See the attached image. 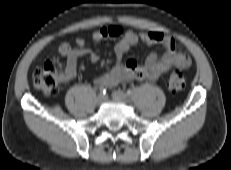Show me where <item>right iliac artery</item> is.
<instances>
[{"label":"right iliac artery","instance_id":"obj_1","mask_svg":"<svg viewBox=\"0 0 231 170\" xmlns=\"http://www.w3.org/2000/svg\"><path fill=\"white\" fill-rule=\"evenodd\" d=\"M99 91H100V94L103 95V96H105V95L107 94V89H106V87H100V88H99Z\"/></svg>","mask_w":231,"mask_h":170}]
</instances>
